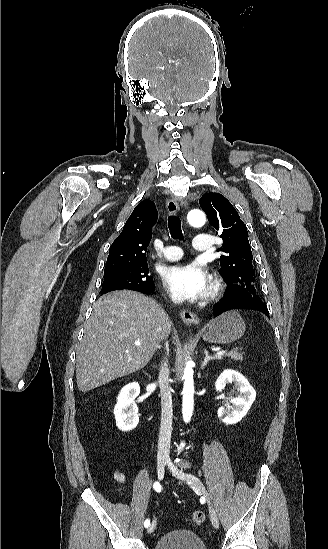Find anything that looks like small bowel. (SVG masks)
Wrapping results in <instances>:
<instances>
[{
  "mask_svg": "<svg viewBox=\"0 0 328 549\" xmlns=\"http://www.w3.org/2000/svg\"><path fill=\"white\" fill-rule=\"evenodd\" d=\"M113 477L120 484H123L126 482V475L118 470L113 471Z\"/></svg>",
  "mask_w": 328,
  "mask_h": 549,
  "instance_id": "small-bowel-1",
  "label": "small bowel"
}]
</instances>
